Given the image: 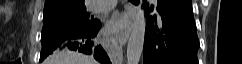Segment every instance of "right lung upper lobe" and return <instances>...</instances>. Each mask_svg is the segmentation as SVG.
Returning <instances> with one entry per match:
<instances>
[{
  "instance_id": "1",
  "label": "right lung upper lobe",
  "mask_w": 242,
  "mask_h": 64,
  "mask_svg": "<svg viewBox=\"0 0 242 64\" xmlns=\"http://www.w3.org/2000/svg\"><path fill=\"white\" fill-rule=\"evenodd\" d=\"M84 6V0H45L44 13Z\"/></svg>"
}]
</instances>
